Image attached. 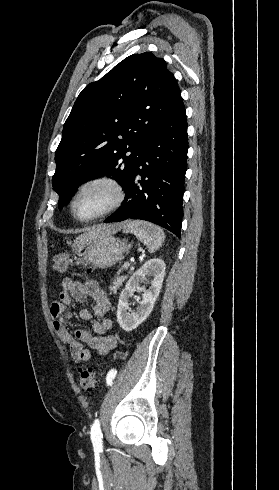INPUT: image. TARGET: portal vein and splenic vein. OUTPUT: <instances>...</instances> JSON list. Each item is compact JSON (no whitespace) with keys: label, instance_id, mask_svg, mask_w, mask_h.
<instances>
[{"label":"portal vein and splenic vein","instance_id":"1","mask_svg":"<svg viewBox=\"0 0 279 490\" xmlns=\"http://www.w3.org/2000/svg\"><path fill=\"white\" fill-rule=\"evenodd\" d=\"M130 264L129 262H125L124 266H122V268H129Z\"/></svg>","mask_w":279,"mask_h":490}]
</instances>
